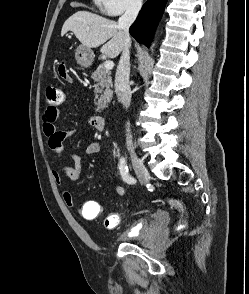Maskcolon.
Segmentation results:
<instances>
[{
    "label": "colon",
    "mask_w": 249,
    "mask_h": 294,
    "mask_svg": "<svg viewBox=\"0 0 249 294\" xmlns=\"http://www.w3.org/2000/svg\"><path fill=\"white\" fill-rule=\"evenodd\" d=\"M59 74L64 76L67 74V69L64 63L59 66ZM64 94L63 91L55 86H48L46 89V103L49 106H58L63 102ZM81 212V209L79 210ZM95 212L101 213V206L99 205Z\"/></svg>",
    "instance_id": "5ec220e1"
}]
</instances>
